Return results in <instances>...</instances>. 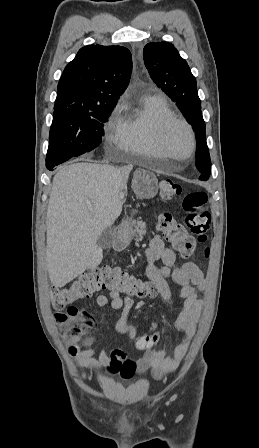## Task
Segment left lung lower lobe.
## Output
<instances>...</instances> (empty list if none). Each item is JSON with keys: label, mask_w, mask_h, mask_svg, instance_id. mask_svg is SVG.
<instances>
[{"label": "left lung lower lobe", "mask_w": 259, "mask_h": 448, "mask_svg": "<svg viewBox=\"0 0 259 448\" xmlns=\"http://www.w3.org/2000/svg\"><path fill=\"white\" fill-rule=\"evenodd\" d=\"M211 167V166H210ZM210 168H209V170L207 171V172H201V177H200V179L201 180H207L208 178H209V175H210Z\"/></svg>", "instance_id": "left-lung-lower-lobe-1"}]
</instances>
